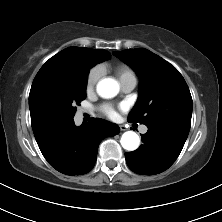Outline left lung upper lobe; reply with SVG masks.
Wrapping results in <instances>:
<instances>
[{"label": "left lung upper lobe", "instance_id": "obj_1", "mask_svg": "<svg viewBox=\"0 0 222 222\" xmlns=\"http://www.w3.org/2000/svg\"><path fill=\"white\" fill-rule=\"evenodd\" d=\"M128 64L140 78L139 97L130 112V122L151 126L178 122L190 129L192 98L178 70L149 50L126 49L113 53Z\"/></svg>", "mask_w": 222, "mask_h": 222}]
</instances>
